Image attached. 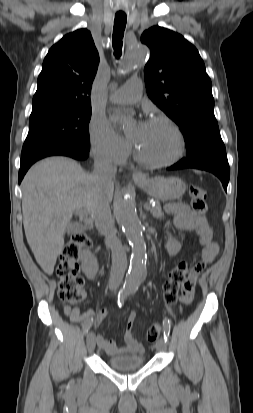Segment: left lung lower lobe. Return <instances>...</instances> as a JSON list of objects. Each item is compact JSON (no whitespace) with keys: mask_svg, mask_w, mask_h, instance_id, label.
<instances>
[{"mask_svg":"<svg viewBox=\"0 0 253 413\" xmlns=\"http://www.w3.org/2000/svg\"><path fill=\"white\" fill-rule=\"evenodd\" d=\"M185 168H196L215 174L221 180L224 189L227 190L230 170L226 152L214 153L202 160H190L183 158L178 163L169 167L170 170Z\"/></svg>","mask_w":253,"mask_h":413,"instance_id":"1","label":"left lung lower lobe"}]
</instances>
